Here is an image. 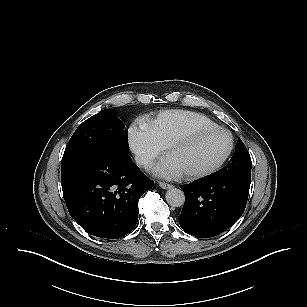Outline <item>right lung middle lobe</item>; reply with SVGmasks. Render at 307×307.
I'll use <instances>...</instances> for the list:
<instances>
[{"label":"right lung middle lobe","instance_id":"right-lung-middle-lobe-1","mask_svg":"<svg viewBox=\"0 0 307 307\" xmlns=\"http://www.w3.org/2000/svg\"><path fill=\"white\" fill-rule=\"evenodd\" d=\"M127 133L128 130L116 117L114 110H102L76 129L65 148L62 164L95 150L113 149L126 153Z\"/></svg>","mask_w":307,"mask_h":307}]
</instances>
